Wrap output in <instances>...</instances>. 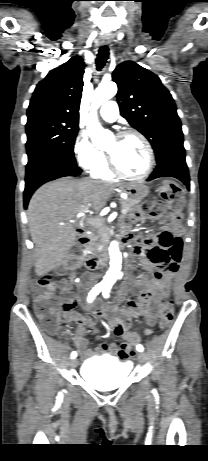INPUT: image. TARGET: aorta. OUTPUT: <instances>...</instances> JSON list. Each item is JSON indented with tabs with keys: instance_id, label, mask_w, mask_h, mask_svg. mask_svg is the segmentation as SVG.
I'll return each mask as SVG.
<instances>
[{
	"instance_id": "obj_1",
	"label": "aorta",
	"mask_w": 208,
	"mask_h": 461,
	"mask_svg": "<svg viewBox=\"0 0 208 461\" xmlns=\"http://www.w3.org/2000/svg\"><path fill=\"white\" fill-rule=\"evenodd\" d=\"M117 93V85L113 82L100 84L93 93L91 100V112L87 122V133L93 145L102 149L105 147L109 138V132L101 126L97 118V110L105 102L113 98ZM110 267L104 280L115 282L120 274L122 267V254L119 250L118 242L112 241L109 246Z\"/></svg>"
}]
</instances>
